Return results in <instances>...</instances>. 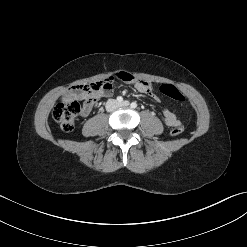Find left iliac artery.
Here are the masks:
<instances>
[{"label":"left iliac artery","mask_w":247,"mask_h":247,"mask_svg":"<svg viewBox=\"0 0 247 247\" xmlns=\"http://www.w3.org/2000/svg\"><path fill=\"white\" fill-rule=\"evenodd\" d=\"M137 107V103L136 102H132L131 103V108H136Z\"/></svg>","instance_id":"obj_1"}]
</instances>
